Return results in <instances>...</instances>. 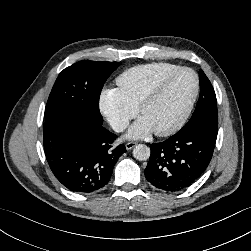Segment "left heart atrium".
<instances>
[{
    "label": "left heart atrium",
    "instance_id": "obj_1",
    "mask_svg": "<svg viewBox=\"0 0 251 251\" xmlns=\"http://www.w3.org/2000/svg\"><path fill=\"white\" fill-rule=\"evenodd\" d=\"M153 131L150 124L142 116L131 126L127 137L132 139L144 138Z\"/></svg>",
    "mask_w": 251,
    "mask_h": 251
}]
</instances>
